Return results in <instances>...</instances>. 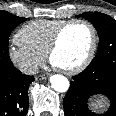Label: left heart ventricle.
<instances>
[{
	"instance_id": "left-heart-ventricle-1",
	"label": "left heart ventricle",
	"mask_w": 116,
	"mask_h": 116,
	"mask_svg": "<svg viewBox=\"0 0 116 116\" xmlns=\"http://www.w3.org/2000/svg\"><path fill=\"white\" fill-rule=\"evenodd\" d=\"M91 46V32L83 24L69 26L63 33L51 61L58 68H72L81 63Z\"/></svg>"
}]
</instances>
